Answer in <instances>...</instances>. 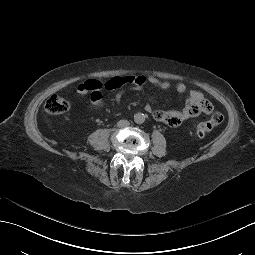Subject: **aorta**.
<instances>
[{"label": "aorta", "instance_id": "762f6f07", "mask_svg": "<svg viewBox=\"0 0 255 255\" xmlns=\"http://www.w3.org/2000/svg\"><path fill=\"white\" fill-rule=\"evenodd\" d=\"M145 121V116L142 113H136L134 115V122L137 124H142Z\"/></svg>", "mask_w": 255, "mask_h": 255}]
</instances>
